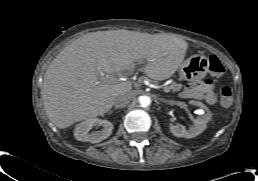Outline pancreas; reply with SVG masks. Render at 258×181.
<instances>
[{
	"label": "pancreas",
	"instance_id": "pancreas-1",
	"mask_svg": "<svg viewBox=\"0 0 258 181\" xmlns=\"http://www.w3.org/2000/svg\"><path fill=\"white\" fill-rule=\"evenodd\" d=\"M182 84H177V83H172L170 86H168L167 88L169 90H172L173 92H179L182 89Z\"/></svg>",
	"mask_w": 258,
	"mask_h": 181
}]
</instances>
